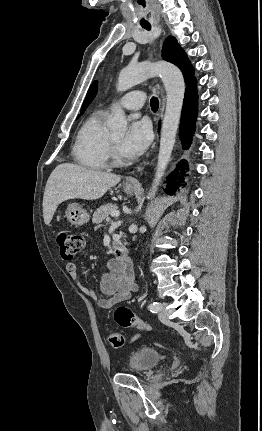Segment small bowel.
Here are the masks:
<instances>
[{
	"instance_id": "small-bowel-1",
	"label": "small bowel",
	"mask_w": 262,
	"mask_h": 431,
	"mask_svg": "<svg viewBox=\"0 0 262 431\" xmlns=\"http://www.w3.org/2000/svg\"><path fill=\"white\" fill-rule=\"evenodd\" d=\"M66 270L81 293L96 300L100 309H110L129 299L131 294L137 290L131 262L120 257H115L107 263L106 270L100 280V294L80 281L74 263H67Z\"/></svg>"
}]
</instances>
